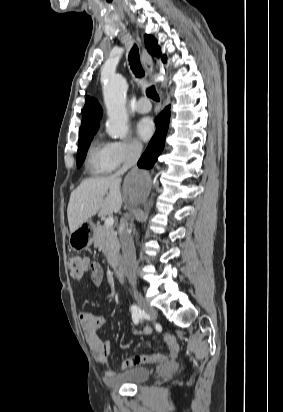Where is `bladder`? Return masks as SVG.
I'll return each instance as SVG.
<instances>
[{"label": "bladder", "instance_id": "bladder-1", "mask_svg": "<svg viewBox=\"0 0 283 412\" xmlns=\"http://www.w3.org/2000/svg\"><path fill=\"white\" fill-rule=\"evenodd\" d=\"M150 371L143 366L133 367L131 369L109 374L106 377L108 384L112 386L120 385H138L146 382L149 378Z\"/></svg>", "mask_w": 283, "mask_h": 412}]
</instances>
